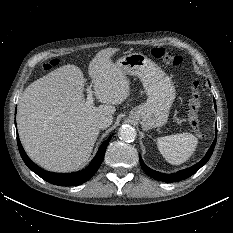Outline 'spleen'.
<instances>
[{
    "instance_id": "obj_1",
    "label": "spleen",
    "mask_w": 233,
    "mask_h": 233,
    "mask_svg": "<svg viewBox=\"0 0 233 233\" xmlns=\"http://www.w3.org/2000/svg\"><path fill=\"white\" fill-rule=\"evenodd\" d=\"M198 139L190 133L159 137L158 150L167 162L180 165L186 162L196 150Z\"/></svg>"
}]
</instances>
